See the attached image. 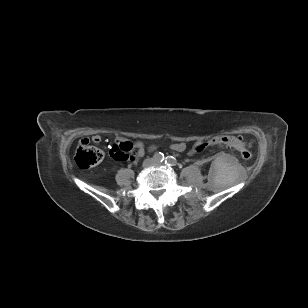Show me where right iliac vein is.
<instances>
[{
  "label": "right iliac vein",
  "instance_id": "63e3f726",
  "mask_svg": "<svg viewBox=\"0 0 308 308\" xmlns=\"http://www.w3.org/2000/svg\"><path fill=\"white\" fill-rule=\"evenodd\" d=\"M153 163H154L153 159H151V158L145 159L142 163V167L147 168V167L153 165Z\"/></svg>",
  "mask_w": 308,
  "mask_h": 308
}]
</instances>
